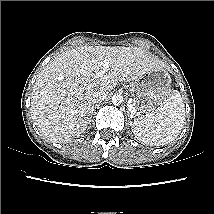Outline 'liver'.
<instances>
[{
	"instance_id": "6515ba94",
	"label": "liver",
	"mask_w": 214,
	"mask_h": 214,
	"mask_svg": "<svg viewBox=\"0 0 214 214\" xmlns=\"http://www.w3.org/2000/svg\"><path fill=\"white\" fill-rule=\"evenodd\" d=\"M110 62L106 75L94 78ZM164 63L138 47L81 46L53 58L38 75L31 97V115L41 135L56 143L80 136L91 121L94 91L114 89Z\"/></svg>"
}]
</instances>
